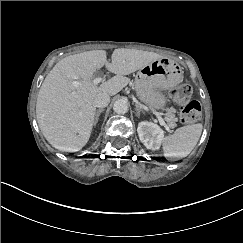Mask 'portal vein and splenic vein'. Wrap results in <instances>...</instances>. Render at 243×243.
Listing matches in <instances>:
<instances>
[{"instance_id": "18ae733b", "label": "portal vein and splenic vein", "mask_w": 243, "mask_h": 243, "mask_svg": "<svg viewBox=\"0 0 243 243\" xmlns=\"http://www.w3.org/2000/svg\"><path fill=\"white\" fill-rule=\"evenodd\" d=\"M101 80H102L101 78H96V79H94L93 83H94L95 85H97L99 82H101ZM153 113H154V114L157 116V118H158L159 126L162 127V129H163L164 131H167V130H168V126L165 124V122H164L163 118L161 117L160 113L157 112V111H153Z\"/></svg>"}]
</instances>
